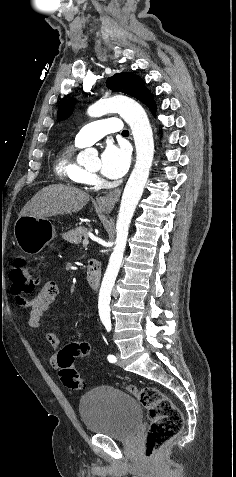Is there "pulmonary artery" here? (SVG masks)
I'll use <instances>...</instances> for the list:
<instances>
[{
  "mask_svg": "<svg viewBox=\"0 0 236 477\" xmlns=\"http://www.w3.org/2000/svg\"><path fill=\"white\" fill-rule=\"evenodd\" d=\"M123 125L118 118L98 120L84 126L76 135L75 143L86 146L92 144L105 134L111 132H123Z\"/></svg>",
  "mask_w": 236,
  "mask_h": 477,
  "instance_id": "pulmonary-artery-1",
  "label": "pulmonary artery"
}]
</instances>
